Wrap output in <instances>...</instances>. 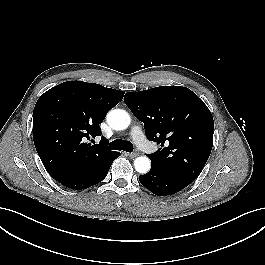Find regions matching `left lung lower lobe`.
<instances>
[{
	"mask_svg": "<svg viewBox=\"0 0 265 265\" xmlns=\"http://www.w3.org/2000/svg\"><path fill=\"white\" fill-rule=\"evenodd\" d=\"M140 183L158 196H167L181 191L191 182L162 168L152 165L151 170L139 176Z\"/></svg>",
	"mask_w": 265,
	"mask_h": 265,
	"instance_id": "left-lung-lower-lobe-1",
	"label": "left lung lower lobe"
}]
</instances>
